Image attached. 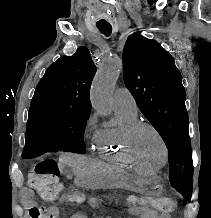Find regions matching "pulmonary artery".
Segmentation results:
<instances>
[{"mask_svg": "<svg viewBox=\"0 0 211 218\" xmlns=\"http://www.w3.org/2000/svg\"><path fill=\"white\" fill-rule=\"evenodd\" d=\"M113 104L115 108H121L137 113V104L135 98L130 90L126 87H120L115 91Z\"/></svg>", "mask_w": 211, "mask_h": 218, "instance_id": "pulmonary-artery-1", "label": "pulmonary artery"}]
</instances>
